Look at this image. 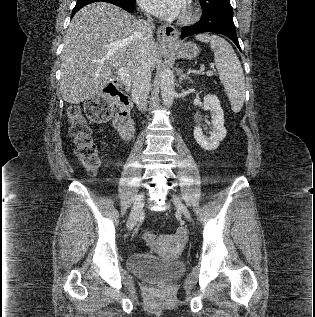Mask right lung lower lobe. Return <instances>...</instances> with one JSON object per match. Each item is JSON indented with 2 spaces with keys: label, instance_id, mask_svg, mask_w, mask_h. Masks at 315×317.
<instances>
[{
  "label": "right lung lower lobe",
  "instance_id": "right-lung-lower-lobe-1",
  "mask_svg": "<svg viewBox=\"0 0 315 317\" xmlns=\"http://www.w3.org/2000/svg\"><path fill=\"white\" fill-rule=\"evenodd\" d=\"M108 2L114 5H117L128 12H133L135 9V0H77L76 6L72 11V16L82 7L94 2Z\"/></svg>",
  "mask_w": 315,
  "mask_h": 317
}]
</instances>
